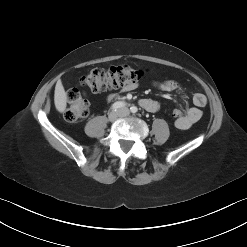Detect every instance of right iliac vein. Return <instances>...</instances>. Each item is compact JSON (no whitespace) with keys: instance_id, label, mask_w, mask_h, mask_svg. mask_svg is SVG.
<instances>
[{"instance_id":"63e3f726","label":"right iliac vein","mask_w":247,"mask_h":247,"mask_svg":"<svg viewBox=\"0 0 247 247\" xmlns=\"http://www.w3.org/2000/svg\"><path fill=\"white\" fill-rule=\"evenodd\" d=\"M121 115L120 111H112L110 112L108 119L111 122H114Z\"/></svg>"}]
</instances>
